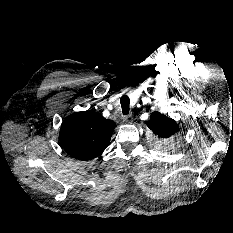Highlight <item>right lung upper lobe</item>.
Listing matches in <instances>:
<instances>
[{
  "label": "right lung upper lobe",
  "instance_id": "obj_1",
  "mask_svg": "<svg viewBox=\"0 0 233 233\" xmlns=\"http://www.w3.org/2000/svg\"><path fill=\"white\" fill-rule=\"evenodd\" d=\"M115 127L114 121L94 111L76 112L62 122L60 143L70 156L88 161L107 148Z\"/></svg>",
  "mask_w": 233,
  "mask_h": 233
}]
</instances>
